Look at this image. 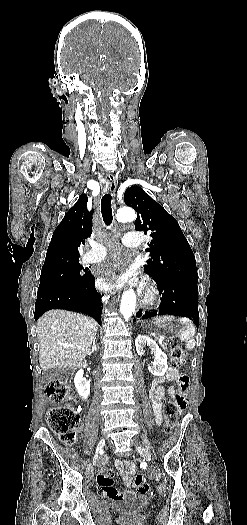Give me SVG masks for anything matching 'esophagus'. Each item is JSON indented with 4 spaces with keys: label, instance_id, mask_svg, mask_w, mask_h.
<instances>
[{
    "label": "esophagus",
    "instance_id": "1",
    "mask_svg": "<svg viewBox=\"0 0 247 525\" xmlns=\"http://www.w3.org/2000/svg\"><path fill=\"white\" fill-rule=\"evenodd\" d=\"M109 184H110V186H109V191H110V192H115L116 189H117L116 181H115V180H109ZM144 313H145L144 310H143L142 308L138 307V308H137V311H136V313H135V316H136L137 318H140V316H143Z\"/></svg>",
    "mask_w": 247,
    "mask_h": 525
}]
</instances>
